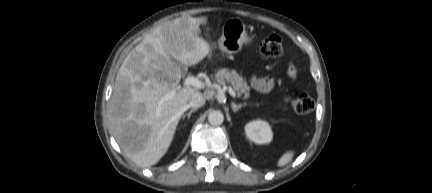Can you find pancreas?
Instances as JSON below:
<instances>
[{
  "mask_svg": "<svg viewBox=\"0 0 432 193\" xmlns=\"http://www.w3.org/2000/svg\"><path fill=\"white\" fill-rule=\"evenodd\" d=\"M215 80L218 85L225 86L226 83H230L237 93L238 96L244 95V98L249 97L250 87L248 86L245 79L240 76L235 70H229L227 68L219 69L215 74Z\"/></svg>",
  "mask_w": 432,
  "mask_h": 193,
  "instance_id": "1",
  "label": "pancreas"
}]
</instances>
